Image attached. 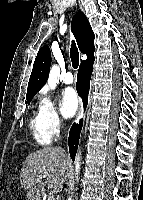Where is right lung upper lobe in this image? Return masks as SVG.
Segmentation results:
<instances>
[{
    "instance_id": "cb5924a9",
    "label": "right lung upper lobe",
    "mask_w": 143,
    "mask_h": 200,
    "mask_svg": "<svg viewBox=\"0 0 143 200\" xmlns=\"http://www.w3.org/2000/svg\"><path fill=\"white\" fill-rule=\"evenodd\" d=\"M72 31L80 51L87 58L94 55V33L85 14L78 12L72 18ZM51 52L48 46L42 47L37 54L29 79L26 99L30 100L45 85L50 71Z\"/></svg>"
}]
</instances>
